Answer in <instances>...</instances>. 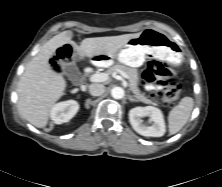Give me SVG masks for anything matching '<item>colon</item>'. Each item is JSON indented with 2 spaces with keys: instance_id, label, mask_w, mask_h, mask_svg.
Instances as JSON below:
<instances>
[{
  "instance_id": "1",
  "label": "colon",
  "mask_w": 222,
  "mask_h": 187,
  "mask_svg": "<svg viewBox=\"0 0 222 187\" xmlns=\"http://www.w3.org/2000/svg\"><path fill=\"white\" fill-rule=\"evenodd\" d=\"M76 58L74 51L69 46L59 48L50 60V68L56 75L63 72L65 65ZM172 73L159 61L148 62L142 77L146 82L157 83L162 91V98L168 104L174 103L180 95L179 85L171 79Z\"/></svg>"
}]
</instances>
